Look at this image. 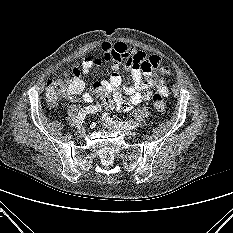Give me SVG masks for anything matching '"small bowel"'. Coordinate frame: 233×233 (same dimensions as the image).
Returning a JSON list of instances; mask_svg holds the SVG:
<instances>
[{
	"label": "small bowel",
	"instance_id": "1",
	"mask_svg": "<svg viewBox=\"0 0 233 233\" xmlns=\"http://www.w3.org/2000/svg\"><path fill=\"white\" fill-rule=\"evenodd\" d=\"M102 55H87L81 66L72 69L73 78L68 84L66 97L73 100L75 95L82 94L81 100L90 103L93 95L90 91H84L85 83L80 78V69L84 74L100 65L102 62H110L113 73L109 80L100 81L110 95L113 96L115 105L120 112H127L136 105L151 100L152 86L164 95L168 94L165 84V76L169 69L161 65V58L156 55H147L143 51L136 50L122 42L105 41L100 46ZM125 66L131 73L133 86H122V77L119 68Z\"/></svg>",
	"mask_w": 233,
	"mask_h": 233
}]
</instances>
